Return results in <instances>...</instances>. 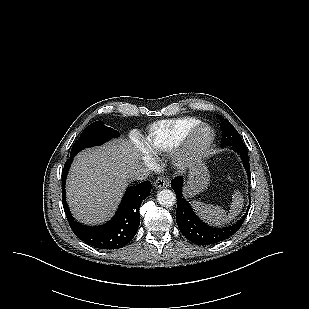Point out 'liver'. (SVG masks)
<instances>
[{
  "mask_svg": "<svg viewBox=\"0 0 309 309\" xmlns=\"http://www.w3.org/2000/svg\"><path fill=\"white\" fill-rule=\"evenodd\" d=\"M139 154L126 139L79 153L67 180V202L75 218L99 224L111 218L139 166Z\"/></svg>",
  "mask_w": 309,
  "mask_h": 309,
  "instance_id": "liver-1",
  "label": "liver"
}]
</instances>
